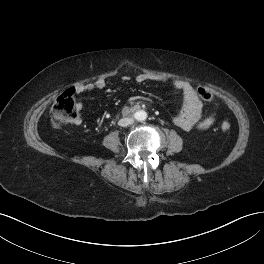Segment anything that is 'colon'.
Returning <instances> with one entry per match:
<instances>
[{
  "label": "colon",
  "mask_w": 264,
  "mask_h": 264,
  "mask_svg": "<svg viewBox=\"0 0 264 264\" xmlns=\"http://www.w3.org/2000/svg\"><path fill=\"white\" fill-rule=\"evenodd\" d=\"M197 94L205 101H212L213 94L204 87L197 88ZM78 117V110L76 107L74 92L67 90L61 94L55 101L52 112V124L55 127H61L64 124L74 122ZM213 117H206L197 123V128L208 129L214 124ZM223 131H229L231 124L228 121H224L221 124Z\"/></svg>",
  "instance_id": "colon-1"
}]
</instances>
